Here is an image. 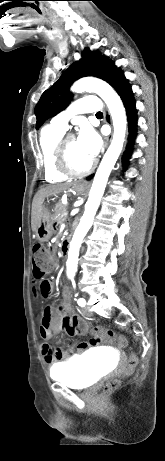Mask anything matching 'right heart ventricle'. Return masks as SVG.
Masks as SVG:
<instances>
[{
	"label": "right heart ventricle",
	"instance_id": "1",
	"mask_svg": "<svg viewBox=\"0 0 165 461\" xmlns=\"http://www.w3.org/2000/svg\"><path fill=\"white\" fill-rule=\"evenodd\" d=\"M65 131L54 127L52 124L44 127L39 137V148L43 161V170L46 181L50 183L61 182L67 175L61 173L54 163V150L58 140Z\"/></svg>",
	"mask_w": 165,
	"mask_h": 461
}]
</instances>
